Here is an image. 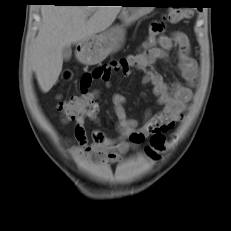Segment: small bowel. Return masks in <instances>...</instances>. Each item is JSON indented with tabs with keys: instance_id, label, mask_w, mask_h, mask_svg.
<instances>
[{
	"instance_id": "c3829d8e",
	"label": "small bowel",
	"mask_w": 231,
	"mask_h": 231,
	"mask_svg": "<svg viewBox=\"0 0 231 231\" xmlns=\"http://www.w3.org/2000/svg\"><path fill=\"white\" fill-rule=\"evenodd\" d=\"M163 30L162 23L154 22L150 27L149 38L135 54L99 65L84 73L80 80L81 92L88 93L95 80L108 82L114 72L128 76L133 69L142 71L145 74L143 81L153 86V93L161 110L155 114L146 113L144 121L139 124L137 120L127 116L126 97L116 93L113 95L112 104L117 118L118 137H107L102 130L96 129L92 132V142L89 143L85 120L97 122L100 111L99 105L92 103L76 119L74 137L77 145L71 149L73 155L81 159L98 157L105 164L118 162L124 154L140 145L148 136L155 133L163 134L173 129L183 118L192 100V86L197 77V66L190 56L187 36L178 32L172 36L158 38ZM172 49H177L178 70L186 85L178 82L169 84L154 67L158 60H167Z\"/></svg>"
}]
</instances>
